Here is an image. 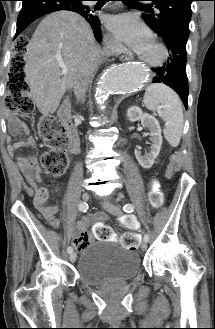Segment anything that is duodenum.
Here are the masks:
<instances>
[{
  "label": "duodenum",
  "mask_w": 215,
  "mask_h": 329,
  "mask_svg": "<svg viewBox=\"0 0 215 329\" xmlns=\"http://www.w3.org/2000/svg\"><path fill=\"white\" fill-rule=\"evenodd\" d=\"M71 109L72 106L70 100L65 99L60 106L58 115L67 133V148L71 153L76 154L79 152L80 139L71 120Z\"/></svg>",
  "instance_id": "1"
}]
</instances>
